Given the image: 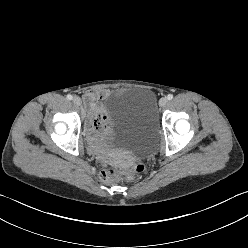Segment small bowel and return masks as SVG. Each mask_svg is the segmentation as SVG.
<instances>
[{
  "instance_id": "1",
  "label": "small bowel",
  "mask_w": 248,
  "mask_h": 248,
  "mask_svg": "<svg viewBox=\"0 0 248 248\" xmlns=\"http://www.w3.org/2000/svg\"><path fill=\"white\" fill-rule=\"evenodd\" d=\"M109 95L106 90H93L85 95V104L88 111L87 127L96 138L100 137L108 129L109 120L106 111L99 100Z\"/></svg>"
}]
</instances>
